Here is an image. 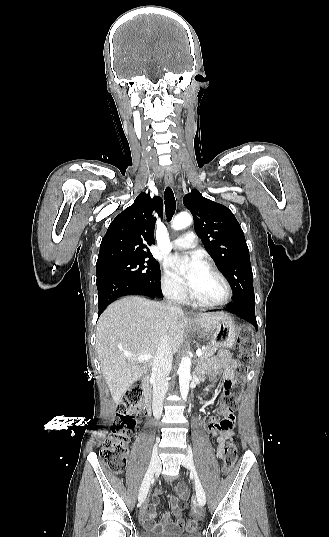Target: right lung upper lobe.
Wrapping results in <instances>:
<instances>
[{
  "instance_id": "1",
  "label": "right lung upper lobe",
  "mask_w": 329,
  "mask_h": 537,
  "mask_svg": "<svg viewBox=\"0 0 329 537\" xmlns=\"http://www.w3.org/2000/svg\"><path fill=\"white\" fill-rule=\"evenodd\" d=\"M156 210L162 218V199L142 192L134 203L109 225L100 245L97 265L114 260L153 258L148 245L155 244Z\"/></svg>"
}]
</instances>
